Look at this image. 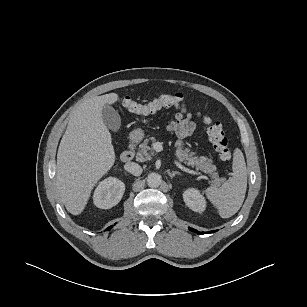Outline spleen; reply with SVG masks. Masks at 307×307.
<instances>
[{"label": "spleen", "instance_id": "1", "mask_svg": "<svg viewBox=\"0 0 307 307\" xmlns=\"http://www.w3.org/2000/svg\"><path fill=\"white\" fill-rule=\"evenodd\" d=\"M233 176L221 187L211 186L205 190L210 202L217 207L222 218L233 216L243 204L247 189V169L242 151L234 150L232 162Z\"/></svg>", "mask_w": 307, "mask_h": 307}]
</instances>
